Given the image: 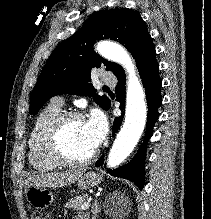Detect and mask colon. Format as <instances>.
Listing matches in <instances>:
<instances>
[{
    "label": "colon",
    "instance_id": "1",
    "mask_svg": "<svg viewBox=\"0 0 211 219\" xmlns=\"http://www.w3.org/2000/svg\"><path fill=\"white\" fill-rule=\"evenodd\" d=\"M32 219H51L47 214L35 213Z\"/></svg>",
    "mask_w": 211,
    "mask_h": 219
}]
</instances>
